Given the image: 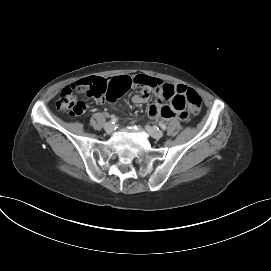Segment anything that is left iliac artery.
<instances>
[{
  "label": "left iliac artery",
  "mask_w": 271,
  "mask_h": 271,
  "mask_svg": "<svg viewBox=\"0 0 271 271\" xmlns=\"http://www.w3.org/2000/svg\"><path fill=\"white\" fill-rule=\"evenodd\" d=\"M159 125H160V127H161L162 130H166L167 129V127H166L165 124L160 123Z\"/></svg>",
  "instance_id": "left-iliac-artery-1"
}]
</instances>
